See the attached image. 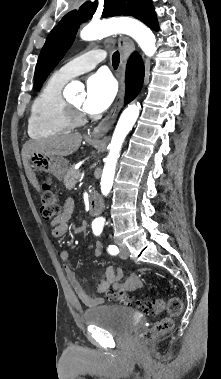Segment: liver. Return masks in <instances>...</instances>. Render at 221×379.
I'll list each match as a JSON object with an SVG mask.
<instances>
[{"instance_id":"1","label":"liver","mask_w":221,"mask_h":379,"mask_svg":"<svg viewBox=\"0 0 221 379\" xmlns=\"http://www.w3.org/2000/svg\"><path fill=\"white\" fill-rule=\"evenodd\" d=\"M81 141L82 135L80 133L27 141L22 148V160L26 175L33 186L39 189L35 175L29 165V155L31 153H42L46 156L55 157L69 156L78 150Z\"/></svg>"}]
</instances>
